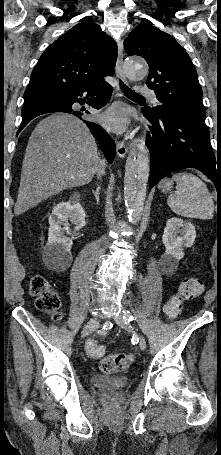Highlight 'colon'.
Segmentation results:
<instances>
[{
    "mask_svg": "<svg viewBox=\"0 0 221 455\" xmlns=\"http://www.w3.org/2000/svg\"><path fill=\"white\" fill-rule=\"evenodd\" d=\"M203 282L199 278L185 279L179 286L178 291L168 300L164 306V312L168 319H176L182 312L184 303L202 294ZM29 292L36 299V307L48 314L52 319L58 320L62 316L61 298L54 290L49 280L35 274L29 283ZM85 350L90 358L99 359V367L105 373H114L127 370L133 363L134 357L130 353H119L105 356V348L95 340H88Z\"/></svg>",
    "mask_w": 221,
    "mask_h": 455,
    "instance_id": "obj_1",
    "label": "colon"
}]
</instances>
